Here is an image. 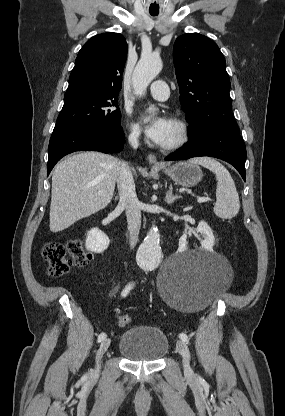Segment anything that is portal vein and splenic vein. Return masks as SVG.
I'll use <instances>...</instances> for the list:
<instances>
[{
  "label": "portal vein and splenic vein",
  "instance_id": "1",
  "mask_svg": "<svg viewBox=\"0 0 285 416\" xmlns=\"http://www.w3.org/2000/svg\"><path fill=\"white\" fill-rule=\"evenodd\" d=\"M208 200H210V198H198L197 202H199V204H202V202H208Z\"/></svg>",
  "mask_w": 285,
  "mask_h": 416
}]
</instances>
